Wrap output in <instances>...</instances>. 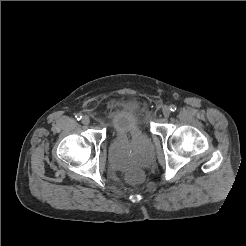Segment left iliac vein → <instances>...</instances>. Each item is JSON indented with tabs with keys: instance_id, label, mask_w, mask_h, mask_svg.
<instances>
[{
	"instance_id": "left-iliac-vein-1",
	"label": "left iliac vein",
	"mask_w": 246,
	"mask_h": 246,
	"mask_svg": "<svg viewBox=\"0 0 246 246\" xmlns=\"http://www.w3.org/2000/svg\"><path fill=\"white\" fill-rule=\"evenodd\" d=\"M162 113L165 118H168L170 116V109L168 107H164L162 109Z\"/></svg>"
}]
</instances>
